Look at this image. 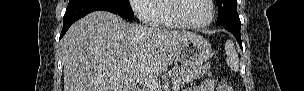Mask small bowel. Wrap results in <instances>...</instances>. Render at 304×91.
I'll use <instances>...</instances> for the list:
<instances>
[{
    "instance_id": "c3829d8e",
    "label": "small bowel",
    "mask_w": 304,
    "mask_h": 91,
    "mask_svg": "<svg viewBox=\"0 0 304 91\" xmlns=\"http://www.w3.org/2000/svg\"><path fill=\"white\" fill-rule=\"evenodd\" d=\"M212 90H213V83L211 80H205L188 89V91H212Z\"/></svg>"
}]
</instances>
